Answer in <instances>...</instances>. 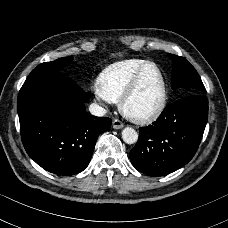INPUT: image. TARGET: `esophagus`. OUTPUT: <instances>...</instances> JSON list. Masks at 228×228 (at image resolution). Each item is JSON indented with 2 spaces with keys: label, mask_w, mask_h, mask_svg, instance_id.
I'll return each mask as SVG.
<instances>
[{
  "label": "esophagus",
  "mask_w": 228,
  "mask_h": 228,
  "mask_svg": "<svg viewBox=\"0 0 228 228\" xmlns=\"http://www.w3.org/2000/svg\"><path fill=\"white\" fill-rule=\"evenodd\" d=\"M112 126L114 129H121L124 127V124L120 120L114 119L112 122Z\"/></svg>",
  "instance_id": "obj_1"
}]
</instances>
